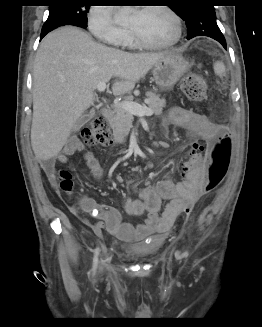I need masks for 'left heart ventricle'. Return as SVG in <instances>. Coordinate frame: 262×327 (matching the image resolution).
I'll use <instances>...</instances> for the list:
<instances>
[{"label":"left heart ventricle","instance_id":"left-heart-ventricle-1","mask_svg":"<svg viewBox=\"0 0 262 327\" xmlns=\"http://www.w3.org/2000/svg\"><path fill=\"white\" fill-rule=\"evenodd\" d=\"M127 26L144 39L155 43L169 41L175 34L171 17L157 9H144L139 14H130Z\"/></svg>","mask_w":262,"mask_h":327}]
</instances>
